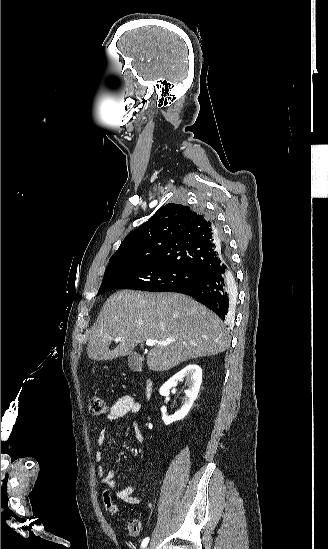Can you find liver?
Returning a JSON list of instances; mask_svg holds the SVG:
<instances>
[{
    "mask_svg": "<svg viewBox=\"0 0 328 549\" xmlns=\"http://www.w3.org/2000/svg\"><path fill=\"white\" fill-rule=\"evenodd\" d=\"M116 337L123 339L110 351ZM147 339L157 343L175 339L166 347L153 345L147 355L151 371H169L189 359L218 355L229 345L221 319L192 297L126 289L104 303L88 333L87 355L92 361H112L131 355Z\"/></svg>",
    "mask_w": 328,
    "mask_h": 549,
    "instance_id": "6515ba94",
    "label": "liver"
}]
</instances>
